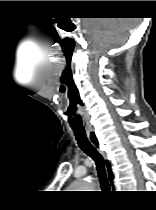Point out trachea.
<instances>
[{
    "label": "trachea",
    "instance_id": "1",
    "mask_svg": "<svg viewBox=\"0 0 156 210\" xmlns=\"http://www.w3.org/2000/svg\"><path fill=\"white\" fill-rule=\"evenodd\" d=\"M74 134L79 147L95 161L101 185L103 187H109L103 156L88 140L87 135L84 131L75 130Z\"/></svg>",
    "mask_w": 156,
    "mask_h": 210
}]
</instances>
